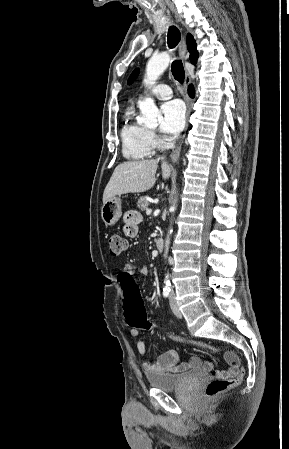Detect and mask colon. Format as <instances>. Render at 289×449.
<instances>
[{
  "label": "colon",
  "mask_w": 289,
  "mask_h": 449,
  "mask_svg": "<svg viewBox=\"0 0 289 449\" xmlns=\"http://www.w3.org/2000/svg\"><path fill=\"white\" fill-rule=\"evenodd\" d=\"M127 248V241L119 234H113L109 237V250L111 255L119 256ZM120 290L124 292L122 297V304L126 310V320L128 326L137 330H153L156 329L159 333L166 335L177 341L186 342L193 346H197L209 351H215V349L197 343L189 341L182 336L174 333L165 332L160 328L154 327L149 321L146 315V311L143 306L142 297L137 295V280L132 276L131 271H119L118 273ZM243 377V369H240L239 373L234 377H223L213 372V378L207 384L205 394L207 397L217 396L228 389L236 386Z\"/></svg>",
  "instance_id": "5ec220e1"
}]
</instances>
